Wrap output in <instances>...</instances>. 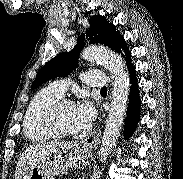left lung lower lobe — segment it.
<instances>
[{"mask_svg":"<svg viewBox=\"0 0 183 179\" xmlns=\"http://www.w3.org/2000/svg\"><path fill=\"white\" fill-rule=\"evenodd\" d=\"M121 48L124 49L125 51V61L127 62V66L130 72V79L132 83L128 110H127V119L125 124V139H127L130 136H132L134 130L136 129V125L139 121L141 100L139 97L137 79L135 76L136 75L135 67L131 64V53L126 47V43L123 37L121 38L115 51L121 53Z\"/></svg>","mask_w":183,"mask_h":179,"instance_id":"left-lung-lower-lobe-1","label":"left lung lower lobe"}]
</instances>
